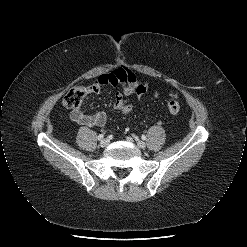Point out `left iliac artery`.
I'll list each match as a JSON object with an SVG mask.
<instances>
[{
    "label": "left iliac artery",
    "mask_w": 247,
    "mask_h": 247,
    "mask_svg": "<svg viewBox=\"0 0 247 247\" xmlns=\"http://www.w3.org/2000/svg\"><path fill=\"white\" fill-rule=\"evenodd\" d=\"M142 139H143V140H146V136H145V135H142Z\"/></svg>",
    "instance_id": "44dca946"
}]
</instances>
